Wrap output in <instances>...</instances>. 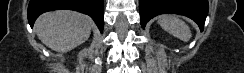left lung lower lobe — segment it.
Wrapping results in <instances>:
<instances>
[{
    "instance_id": "0a47b994",
    "label": "left lung lower lobe",
    "mask_w": 244,
    "mask_h": 73,
    "mask_svg": "<svg viewBox=\"0 0 244 73\" xmlns=\"http://www.w3.org/2000/svg\"><path fill=\"white\" fill-rule=\"evenodd\" d=\"M140 23H146L159 14L173 13L194 20L201 31L208 14V0H139Z\"/></svg>"
}]
</instances>
